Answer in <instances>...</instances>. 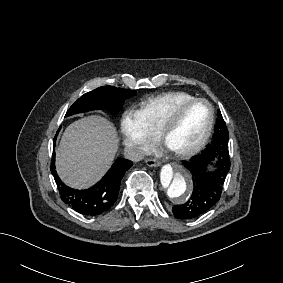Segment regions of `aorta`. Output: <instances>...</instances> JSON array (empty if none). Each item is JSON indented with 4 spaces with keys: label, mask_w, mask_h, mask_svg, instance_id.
<instances>
[{
    "label": "aorta",
    "mask_w": 283,
    "mask_h": 283,
    "mask_svg": "<svg viewBox=\"0 0 283 283\" xmlns=\"http://www.w3.org/2000/svg\"><path fill=\"white\" fill-rule=\"evenodd\" d=\"M193 182L190 173L180 164H166L159 176V191L163 198L176 204L190 199Z\"/></svg>",
    "instance_id": "1"
}]
</instances>
